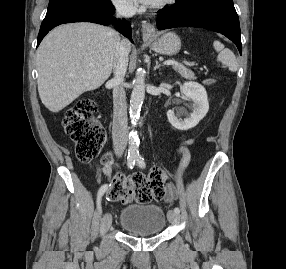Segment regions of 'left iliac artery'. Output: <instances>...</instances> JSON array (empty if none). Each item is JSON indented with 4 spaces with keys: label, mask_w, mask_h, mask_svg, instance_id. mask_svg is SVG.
Instances as JSON below:
<instances>
[{
    "label": "left iliac artery",
    "mask_w": 286,
    "mask_h": 269,
    "mask_svg": "<svg viewBox=\"0 0 286 269\" xmlns=\"http://www.w3.org/2000/svg\"><path fill=\"white\" fill-rule=\"evenodd\" d=\"M135 161H136V163H137V165H138L139 167L145 168V161H144V158H143L142 156L137 155V156L135 157ZM174 212L179 213V212H180V209H179L178 207H175V208H174Z\"/></svg>",
    "instance_id": "obj_1"
}]
</instances>
